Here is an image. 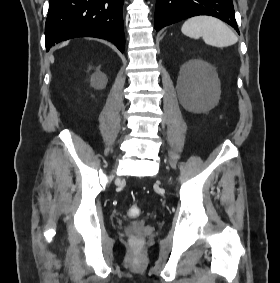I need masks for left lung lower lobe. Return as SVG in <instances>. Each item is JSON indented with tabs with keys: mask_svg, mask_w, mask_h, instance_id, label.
<instances>
[{
	"mask_svg": "<svg viewBox=\"0 0 280 283\" xmlns=\"http://www.w3.org/2000/svg\"><path fill=\"white\" fill-rule=\"evenodd\" d=\"M197 15L217 17L239 33L232 0H157L155 30Z\"/></svg>",
	"mask_w": 280,
	"mask_h": 283,
	"instance_id": "left-lung-lower-lobe-1",
	"label": "left lung lower lobe"
}]
</instances>
